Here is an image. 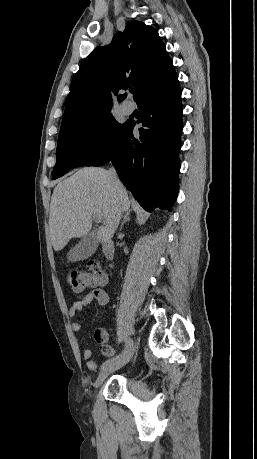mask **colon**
I'll return each instance as SVG.
<instances>
[{"label": "colon", "mask_w": 257, "mask_h": 459, "mask_svg": "<svg viewBox=\"0 0 257 459\" xmlns=\"http://www.w3.org/2000/svg\"><path fill=\"white\" fill-rule=\"evenodd\" d=\"M66 281L75 291L81 293L90 286L106 283L107 275L98 263L91 262L85 269L69 270Z\"/></svg>", "instance_id": "colon-1"}]
</instances>
